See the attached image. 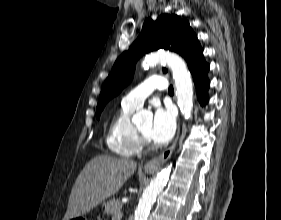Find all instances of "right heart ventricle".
<instances>
[{"instance_id": "right-heart-ventricle-1", "label": "right heart ventricle", "mask_w": 281, "mask_h": 220, "mask_svg": "<svg viewBox=\"0 0 281 220\" xmlns=\"http://www.w3.org/2000/svg\"><path fill=\"white\" fill-rule=\"evenodd\" d=\"M137 108L122 101L120 109L113 116L106 143L111 152L122 157H134L141 153L142 146L131 122V115Z\"/></svg>"}]
</instances>
